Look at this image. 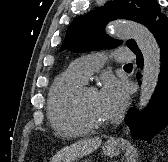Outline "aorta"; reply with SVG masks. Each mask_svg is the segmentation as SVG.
<instances>
[{"mask_svg":"<svg viewBox=\"0 0 168 162\" xmlns=\"http://www.w3.org/2000/svg\"><path fill=\"white\" fill-rule=\"evenodd\" d=\"M110 34L133 38L144 58L139 111L149 103L160 74V49L152 33L143 25L131 21H115L109 27Z\"/></svg>","mask_w":168,"mask_h":162,"instance_id":"obj_1","label":"aorta"}]
</instances>
